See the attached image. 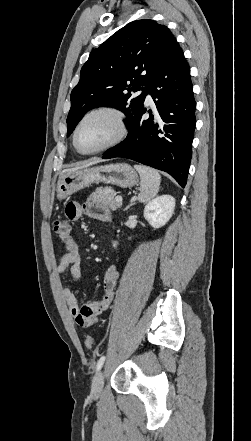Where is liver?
I'll return each instance as SVG.
<instances>
[{
	"label": "liver",
	"mask_w": 251,
	"mask_h": 441,
	"mask_svg": "<svg viewBox=\"0 0 251 441\" xmlns=\"http://www.w3.org/2000/svg\"><path fill=\"white\" fill-rule=\"evenodd\" d=\"M99 162H101L100 159H93V160H90V161H88V162H84L83 164H81V165H79V166H76V167H74V168L66 169V170H64L62 173H65V172H68V171H74V170H79V169L87 168V167H89V166H91V165H94V164H97V163H99Z\"/></svg>",
	"instance_id": "6515ba94"
}]
</instances>
